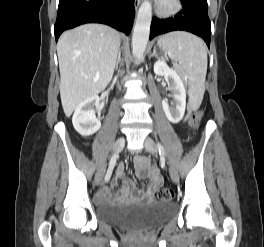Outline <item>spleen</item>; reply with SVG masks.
<instances>
[{
	"mask_svg": "<svg viewBox=\"0 0 264 247\" xmlns=\"http://www.w3.org/2000/svg\"><path fill=\"white\" fill-rule=\"evenodd\" d=\"M158 46L178 62V69L188 79L191 101L201 103L205 91L207 51L203 41L187 32L162 36Z\"/></svg>",
	"mask_w": 264,
	"mask_h": 247,
	"instance_id": "obj_1",
	"label": "spleen"
}]
</instances>
